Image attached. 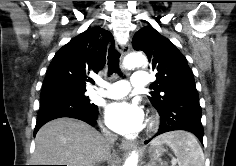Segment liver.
Returning a JSON list of instances; mask_svg holds the SVG:
<instances>
[{
  "label": "liver",
  "instance_id": "obj_1",
  "mask_svg": "<svg viewBox=\"0 0 236 166\" xmlns=\"http://www.w3.org/2000/svg\"><path fill=\"white\" fill-rule=\"evenodd\" d=\"M34 165L94 166L112 161L104 137L87 123L58 118L45 124L36 134Z\"/></svg>",
  "mask_w": 236,
  "mask_h": 166
}]
</instances>
